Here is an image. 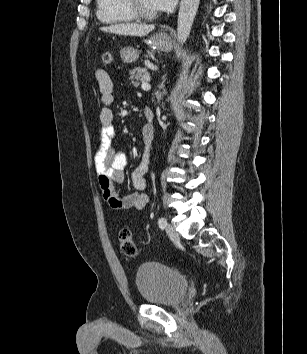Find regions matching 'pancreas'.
Instances as JSON below:
<instances>
[{
	"label": "pancreas",
	"instance_id": "pancreas-1",
	"mask_svg": "<svg viewBox=\"0 0 307 354\" xmlns=\"http://www.w3.org/2000/svg\"><path fill=\"white\" fill-rule=\"evenodd\" d=\"M129 79L135 87H138L140 82H147L150 79V74L146 68L136 67L129 71Z\"/></svg>",
	"mask_w": 307,
	"mask_h": 354
}]
</instances>
